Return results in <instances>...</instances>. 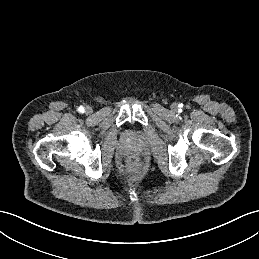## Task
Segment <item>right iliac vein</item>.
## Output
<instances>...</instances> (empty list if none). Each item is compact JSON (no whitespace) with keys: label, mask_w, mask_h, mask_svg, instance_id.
I'll list each match as a JSON object with an SVG mask.
<instances>
[{"label":"right iliac vein","mask_w":259,"mask_h":259,"mask_svg":"<svg viewBox=\"0 0 259 259\" xmlns=\"http://www.w3.org/2000/svg\"><path fill=\"white\" fill-rule=\"evenodd\" d=\"M85 112H86L87 114H90V113L92 112V108H91V107H86Z\"/></svg>","instance_id":"63e3f726"}]
</instances>
